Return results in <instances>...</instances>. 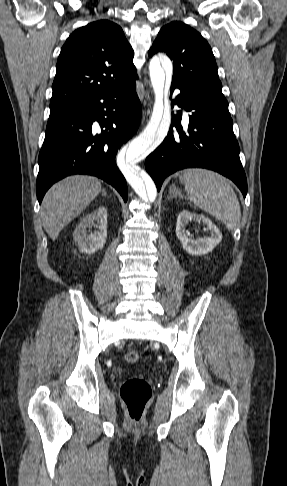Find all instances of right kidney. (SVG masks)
Returning a JSON list of instances; mask_svg holds the SVG:
<instances>
[{"mask_svg": "<svg viewBox=\"0 0 287 486\" xmlns=\"http://www.w3.org/2000/svg\"><path fill=\"white\" fill-rule=\"evenodd\" d=\"M96 224L97 230L87 233V228ZM107 238V209L98 207L89 215L82 218L73 232V239L80 252L93 254L105 245Z\"/></svg>", "mask_w": 287, "mask_h": 486, "instance_id": "1", "label": "right kidney"}]
</instances>
